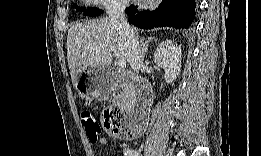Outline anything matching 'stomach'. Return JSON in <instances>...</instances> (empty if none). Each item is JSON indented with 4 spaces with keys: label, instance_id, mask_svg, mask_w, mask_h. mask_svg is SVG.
<instances>
[{
    "label": "stomach",
    "instance_id": "stomach-1",
    "mask_svg": "<svg viewBox=\"0 0 261 156\" xmlns=\"http://www.w3.org/2000/svg\"><path fill=\"white\" fill-rule=\"evenodd\" d=\"M84 74L75 86L82 98L91 101L110 93L112 75L108 66H93L85 70Z\"/></svg>",
    "mask_w": 261,
    "mask_h": 156
}]
</instances>
